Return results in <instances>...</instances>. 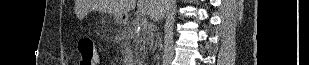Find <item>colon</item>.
<instances>
[{"label": "colon", "mask_w": 309, "mask_h": 65, "mask_svg": "<svg viewBox=\"0 0 309 65\" xmlns=\"http://www.w3.org/2000/svg\"><path fill=\"white\" fill-rule=\"evenodd\" d=\"M78 50L80 53V65H97L98 55L96 53L93 40L84 36L78 42Z\"/></svg>", "instance_id": "1"}]
</instances>
